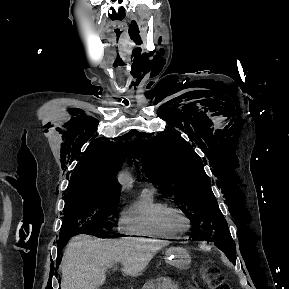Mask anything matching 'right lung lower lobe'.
I'll return each instance as SVG.
<instances>
[{
  "mask_svg": "<svg viewBox=\"0 0 289 289\" xmlns=\"http://www.w3.org/2000/svg\"><path fill=\"white\" fill-rule=\"evenodd\" d=\"M64 242L63 241H58V255H57V263H59L61 260H60V253L64 247Z\"/></svg>",
  "mask_w": 289,
  "mask_h": 289,
  "instance_id": "98d812e1",
  "label": "right lung lower lobe"
}]
</instances>
